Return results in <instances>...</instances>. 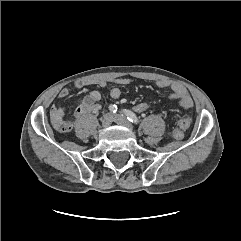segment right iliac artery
<instances>
[{
    "label": "right iliac artery",
    "instance_id": "obj_1",
    "mask_svg": "<svg viewBox=\"0 0 241 241\" xmlns=\"http://www.w3.org/2000/svg\"><path fill=\"white\" fill-rule=\"evenodd\" d=\"M117 106L116 105H110L109 106V110L111 111V112H113V113H116L117 112Z\"/></svg>",
    "mask_w": 241,
    "mask_h": 241
}]
</instances>
